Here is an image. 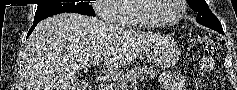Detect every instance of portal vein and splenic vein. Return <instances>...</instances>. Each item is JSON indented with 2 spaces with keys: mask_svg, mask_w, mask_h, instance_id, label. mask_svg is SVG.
<instances>
[{
  "mask_svg": "<svg viewBox=\"0 0 237 90\" xmlns=\"http://www.w3.org/2000/svg\"><path fill=\"white\" fill-rule=\"evenodd\" d=\"M98 60H99V58H98ZM98 60H96V62H92L93 66H99Z\"/></svg>",
  "mask_w": 237,
  "mask_h": 90,
  "instance_id": "1",
  "label": "portal vein and splenic vein"
}]
</instances>
